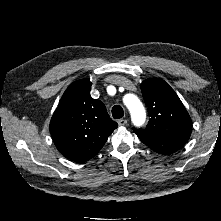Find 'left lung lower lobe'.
I'll return each instance as SVG.
<instances>
[{"instance_id": "1", "label": "left lung lower lobe", "mask_w": 221, "mask_h": 221, "mask_svg": "<svg viewBox=\"0 0 221 221\" xmlns=\"http://www.w3.org/2000/svg\"><path fill=\"white\" fill-rule=\"evenodd\" d=\"M137 135L144 144L160 154L176 152L187 142L183 139H166L145 133H138Z\"/></svg>"}]
</instances>
